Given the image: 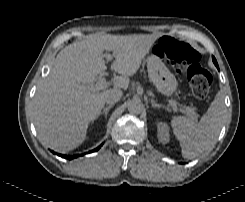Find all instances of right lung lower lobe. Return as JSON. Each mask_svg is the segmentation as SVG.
<instances>
[{
	"label": "right lung lower lobe",
	"mask_w": 245,
	"mask_h": 202,
	"mask_svg": "<svg viewBox=\"0 0 245 202\" xmlns=\"http://www.w3.org/2000/svg\"><path fill=\"white\" fill-rule=\"evenodd\" d=\"M101 146H102V144L99 147H97L96 149L92 150L91 152H95V151L99 150ZM58 155L63 157V158L69 159V160L80 156V155L66 156V155H62V154H58Z\"/></svg>",
	"instance_id": "right-lung-lower-lobe-1"
}]
</instances>
